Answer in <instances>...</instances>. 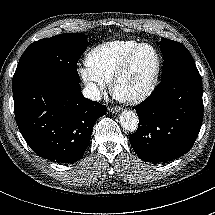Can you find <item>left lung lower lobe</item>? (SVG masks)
<instances>
[{"label":"left lung lower lobe","mask_w":215,"mask_h":215,"mask_svg":"<svg viewBox=\"0 0 215 215\" xmlns=\"http://www.w3.org/2000/svg\"><path fill=\"white\" fill-rule=\"evenodd\" d=\"M139 127L130 143L140 159L167 162L193 146L203 120L202 80L196 67L163 79L155 93L134 107Z\"/></svg>","instance_id":"left-lung-lower-lobe-1"}]
</instances>
